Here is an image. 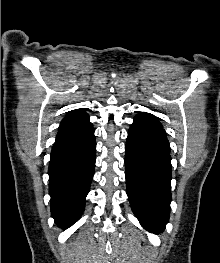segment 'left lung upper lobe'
Returning <instances> with one entry per match:
<instances>
[{
    "label": "left lung upper lobe",
    "mask_w": 220,
    "mask_h": 263,
    "mask_svg": "<svg viewBox=\"0 0 220 263\" xmlns=\"http://www.w3.org/2000/svg\"><path fill=\"white\" fill-rule=\"evenodd\" d=\"M136 117H141V118L147 119V120L161 126L160 122L154 117V115H152L150 113L140 112V114L137 115Z\"/></svg>",
    "instance_id": "1"
}]
</instances>
